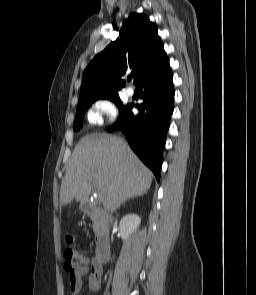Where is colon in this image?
<instances>
[{"instance_id":"5ec220e1","label":"colon","mask_w":256,"mask_h":295,"mask_svg":"<svg viewBox=\"0 0 256 295\" xmlns=\"http://www.w3.org/2000/svg\"><path fill=\"white\" fill-rule=\"evenodd\" d=\"M68 244H72L74 239L71 235L66 237ZM64 267L67 271H74L82 266L85 262L84 255L72 247H68L64 251Z\"/></svg>"}]
</instances>
